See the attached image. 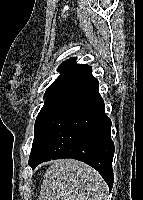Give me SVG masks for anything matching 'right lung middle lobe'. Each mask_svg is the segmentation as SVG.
Listing matches in <instances>:
<instances>
[{"mask_svg":"<svg viewBox=\"0 0 143 200\" xmlns=\"http://www.w3.org/2000/svg\"><path fill=\"white\" fill-rule=\"evenodd\" d=\"M62 82V80H59V79H56L52 84L51 86L46 90L45 92V95H44V98H47L54 89H56L60 83Z\"/></svg>","mask_w":143,"mask_h":200,"instance_id":"dd1d6c3e","label":"right lung middle lobe"}]
</instances>
